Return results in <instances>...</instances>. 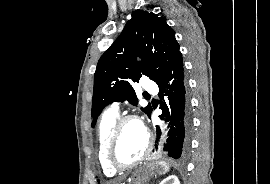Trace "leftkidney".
<instances>
[{"instance_id": "obj_1", "label": "left kidney", "mask_w": 270, "mask_h": 184, "mask_svg": "<svg viewBox=\"0 0 270 184\" xmlns=\"http://www.w3.org/2000/svg\"><path fill=\"white\" fill-rule=\"evenodd\" d=\"M160 184H180V181L177 176L170 175L167 178L163 179Z\"/></svg>"}]
</instances>
